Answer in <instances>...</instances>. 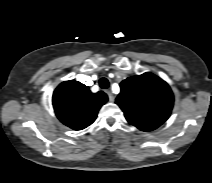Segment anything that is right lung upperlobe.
I'll return each mask as SVG.
<instances>
[{
	"label": "right lung upper lobe",
	"instance_id": "1",
	"mask_svg": "<svg viewBox=\"0 0 212 183\" xmlns=\"http://www.w3.org/2000/svg\"><path fill=\"white\" fill-rule=\"evenodd\" d=\"M107 95L92 93L88 86L69 80L62 82L53 93V107L58 119L74 130H82L92 124Z\"/></svg>",
	"mask_w": 212,
	"mask_h": 183
}]
</instances>
